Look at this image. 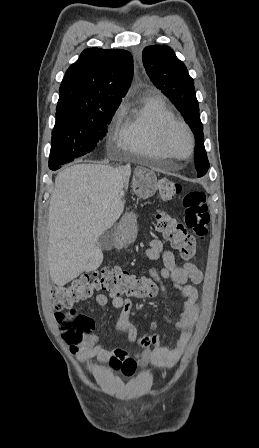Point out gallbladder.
<instances>
[{"label": "gallbladder", "mask_w": 259, "mask_h": 448, "mask_svg": "<svg viewBox=\"0 0 259 448\" xmlns=\"http://www.w3.org/2000/svg\"><path fill=\"white\" fill-rule=\"evenodd\" d=\"M114 244L115 236L112 232H108V230H105L102 236H100L97 240V246L100 250H112V248H114Z\"/></svg>", "instance_id": "bac80fb5"}]
</instances>
